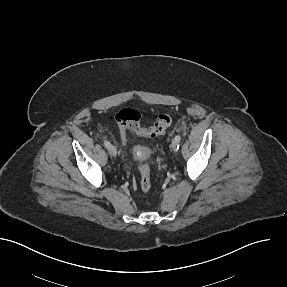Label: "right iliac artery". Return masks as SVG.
<instances>
[{
	"label": "right iliac artery",
	"mask_w": 287,
	"mask_h": 287,
	"mask_svg": "<svg viewBox=\"0 0 287 287\" xmlns=\"http://www.w3.org/2000/svg\"><path fill=\"white\" fill-rule=\"evenodd\" d=\"M104 146H105L106 148H108V147L110 146V143H109L108 141H104Z\"/></svg>",
	"instance_id": "82829eb1"
}]
</instances>
